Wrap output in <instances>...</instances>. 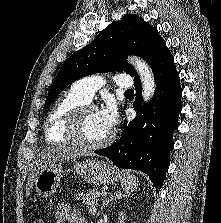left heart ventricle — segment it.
Masks as SVG:
<instances>
[{
  "instance_id": "obj_1",
  "label": "left heart ventricle",
  "mask_w": 221,
  "mask_h": 223,
  "mask_svg": "<svg viewBox=\"0 0 221 223\" xmlns=\"http://www.w3.org/2000/svg\"><path fill=\"white\" fill-rule=\"evenodd\" d=\"M111 131L104 124L98 110L85 114L81 123L80 136L83 141L97 143L109 136Z\"/></svg>"
}]
</instances>
